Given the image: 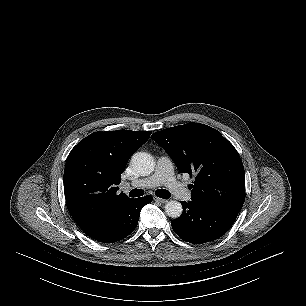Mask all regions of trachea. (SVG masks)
Returning a JSON list of instances; mask_svg holds the SVG:
<instances>
[{
	"label": "trachea",
	"mask_w": 306,
	"mask_h": 306,
	"mask_svg": "<svg viewBox=\"0 0 306 306\" xmlns=\"http://www.w3.org/2000/svg\"><path fill=\"white\" fill-rule=\"evenodd\" d=\"M129 194H130V197H139V196H143L144 191L141 189H133L130 191ZM155 195L160 198L166 199L170 197V192L165 189H158L155 191Z\"/></svg>",
	"instance_id": "obj_1"
}]
</instances>
